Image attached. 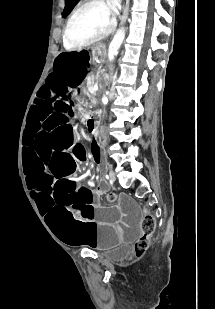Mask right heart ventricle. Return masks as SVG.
Here are the masks:
<instances>
[{
  "instance_id": "e07e8e85",
  "label": "right heart ventricle",
  "mask_w": 215,
  "mask_h": 309,
  "mask_svg": "<svg viewBox=\"0 0 215 309\" xmlns=\"http://www.w3.org/2000/svg\"><path fill=\"white\" fill-rule=\"evenodd\" d=\"M69 45H70V44H69ZM69 45H68V46H66V45H65V43H64L65 48H70V47H69Z\"/></svg>"
}]
</instances>
